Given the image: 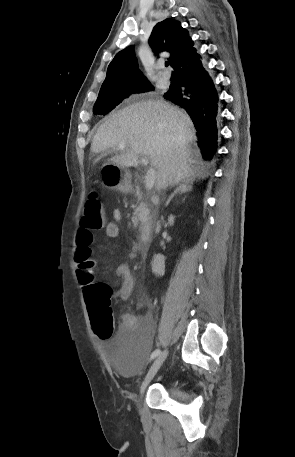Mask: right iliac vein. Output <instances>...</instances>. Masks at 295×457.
<instances>
[{
  "mask_svg": "<svg viewBox=\"0 0 295 457\" xmlns=\"http://www.w3.org/2000/svg\"><path fill=\"white\" fill-rule=\"evenodd\" d=\"M168 355V351L165 350L163 351L156 359L155 361L153 362V364L151 365L150 369L148 370L142 384H141V387H140V397L142 396V394L144 393L146 387L148 386V384L150 383V381L153 379V377L156 375L157 371L159 370V368L161 367V365L163 364V362L165 361L166 357Z\"/></svg>",
  "mask_w": 295,
  "mask_h": 457,
  "instance_id": "obj_1",
  "label": "right iliac vein"
}]
</instances>
